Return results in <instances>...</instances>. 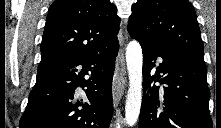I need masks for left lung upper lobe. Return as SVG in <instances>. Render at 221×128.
I'll list each match as a JSON object with an SVG mask.
<instances>
[{
  "label": "left lung upper lobe",
  "instance_id": "obj_1",
  "mask_svg": "<svg viewBox=\"0 0 221 128\" xmlns=\"http://www.w3.org/2000/svg\"><path fill=\"white\" fill-rule=\"evenodd\" d=\"M128 31L140 43L165 44L204 62L196 13L188 0H138Z\"/></svg>",
  "mask_w": 221,
  "mask_h": 128
}]
</instances>
